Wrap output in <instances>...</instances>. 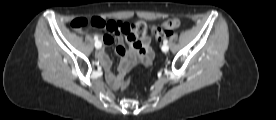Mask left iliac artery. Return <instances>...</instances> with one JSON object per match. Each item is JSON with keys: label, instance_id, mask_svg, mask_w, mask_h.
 Segmentation results:
<instances>
[{"label": "left iliac artery", "instance_id": "obj_1", "mask_svg": "<svg viewBox=\"0 0 276 120\" xmlns=\"http://www.w3.org/2000/svg\"><path fill=\"white\" fill-rule=\"evenodd\" d=\"M167 43H168V40L165 39V40L163 41V44H164V45H167Z\"/></svg>", "mask_w": 276, "mask_h": 120}]
</instances>
